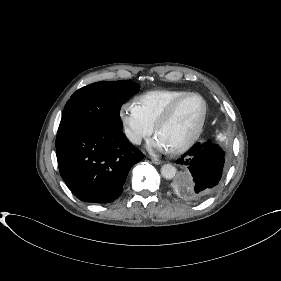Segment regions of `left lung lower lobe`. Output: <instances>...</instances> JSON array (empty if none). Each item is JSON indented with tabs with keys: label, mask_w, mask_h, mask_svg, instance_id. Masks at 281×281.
Masks as SVG:
<instances>
[{
	"label": "left lung lower lobe",
	"mask_w": 281,
	"mask_h": 281,
	"mask_svg": "<svg viewBox=\"0 0 281 281\" xmlns=\"http://www.w3.org/2000/svg\"><path fill=\"white\" fill-rule=\"evenodd\" d=\"M225 153L211 141L195 144L176 161L188 166L190 176L182 184L188 200L201 201L218 189L224 172Z\"/></svg>",
	"instance_id": "0a47b994"
}]
</instances>
